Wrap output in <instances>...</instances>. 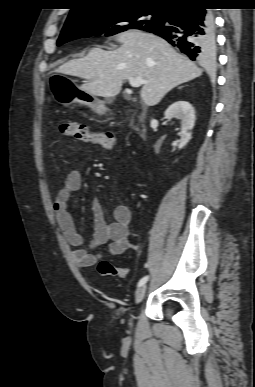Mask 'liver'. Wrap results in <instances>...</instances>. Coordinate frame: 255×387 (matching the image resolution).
Masks as SVG:
<instances>
[{"label":"liver","mask_w":255,"mask_h":387,"mask_svg":"<svg viewBox=\"0 0 255 387\" xmlns=\"http://www.w3.org/2000/svg\"><path fill=\"white\" fill-rule=\"evenodd\" d=\"M121 46L113 51L91 49L80 59L61 65L57 72L86 79L80 89L93 96L115 97L123 82L141 77L140 96L147 106L157 105L176 86L202 74L187 57L176 52L163 38L130 30L117 36Z\"/></svg>","instance_id":"1"}]
</instances>
